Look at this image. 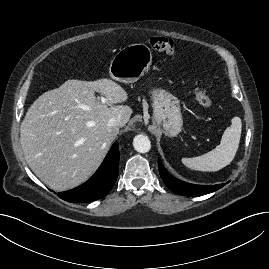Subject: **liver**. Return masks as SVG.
Segmentation results:
<instances>
[{
  "label": "liver",
  "instance_id": "6515ba94",
  "mask_svg": "<svg viewBox=\"0 0 269 269\" xmlns=\"http://www.w3.org/2000/svg\"><path fill=\"white\" fill-rule=\"evenodd\" d=\"M95 92L111 106L97 101ZM127 99V92L107 78L67 80L39 96L20 127L21 146L34 174L55 191L85 182L102 162L119 127L129 121L132 109L114 105ZM112 117L121 119L120 126H108Z\"/></svg>",
  "mask_w": 269,
  "mask_h": 269
}]
</instances>
